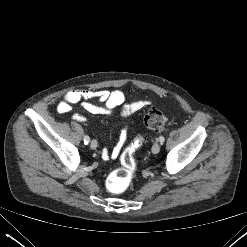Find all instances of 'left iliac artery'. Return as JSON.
<instances>
[{"label":"left iliac artery","mask_w":247,"mask_h":247,"mask_svg":"<svg viewBox=\"0 0 247 247\" xmlns=\"http://www.w3.org/2000/svg\"><path fill=\"white\" fill-rule=\"evenodd\" d=\"M164 141H165V138H164L163 136H160V137H159V142H160L161 144H163Z\"/></svg>","instance_id":"44dca946"}]
</instances>
